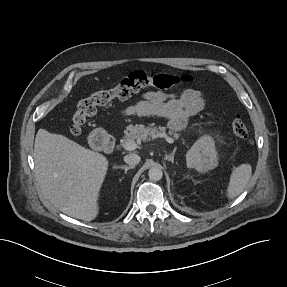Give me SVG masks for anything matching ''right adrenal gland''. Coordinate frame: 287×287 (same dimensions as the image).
Segmentation results:
<instances>
[{"label":"right adrenal gland","instance_id":"1","mask_svg":"<svg viewBox=\"0 0 287 287\" xmlns=\"http://www.w3.org/2000/svg\"><path fill=\"white\" fill-rule=\"evenodd\" d=\"M116 169H123L124 173L126 174L129 169H132L133 166H114Z\"/></svg>","mask_w":287,"mask_h":287}]
</instances>
